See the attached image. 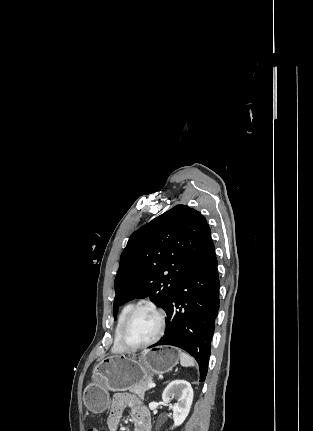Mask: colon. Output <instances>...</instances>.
<instances>
[{
  "label": "colon",
  "instance_id": "5ec220e1",
  "mask_svg": "<svg viewBox=\"0 0 313 431\" xmlns=\"http://www.w3.org/2000/svg\"><path fill=\"white\" fill-rule=\"evenodd\" d=\"M87 431H99L97 428H89Z\"/></svg>",
  "mask_w": 313,
  "mask_h": 431
}]
</instances>
